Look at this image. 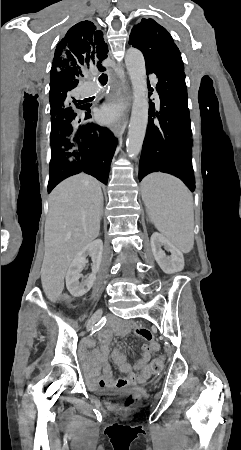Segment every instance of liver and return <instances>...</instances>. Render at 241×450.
<instances>
[{"label": "liver", "mask_w": 241, "mask_h": 450, "mask_svg": "<svg viewBox=\"0 0 241 450\" xmlns=\"http://www.w3.org/2000/svg\"><path fill=\"white\" fill-rule=\"evenodd\" d=\"M49 206L41 282L47 298L56 302L74 256L99 234L103 206L100 182L87 174L71 176L49 194Z\"/></svg>", "instance_id": "obj_1"}]
</instances>
